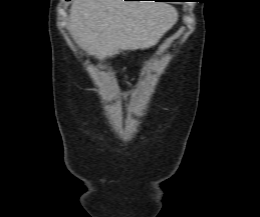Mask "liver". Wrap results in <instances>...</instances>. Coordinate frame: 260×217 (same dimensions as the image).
I'll use <instances>...</instances> for the list:
<instances>
[{
  "instance_id": "6515ba94",
  "label": "liver",
  "mask_w": 260,
  "mask_h": 217,
  "mask_svg": "<svg viewBox=\"0 0 260 217\" xmlns=\"http://www.w3.org/2000/svg\"><path fill=\"white\" fill-rule=\"evenodd\" d=\"M177 19L176 9L164 2L74 0L68 30L84 51L104 59L154 46Z\"/></svg>"
}]
</instances>
